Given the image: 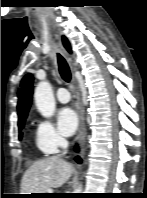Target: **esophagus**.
I'll use <instances>...</instances> for the list:
<instances>
[{
  "label": "esophagus",
  "instance_id": "esophagus-1",
  "mask_svg": "<svg viewBox=\"0 0 147 198\" xmlns=\"http://www.w3.org/2000/svg\"><path fill=\"white\" fill-rule=\"evenodd\" d=\"M73 84L75 89L78 91V83L75 77H73ZM80 116H81V128L79 133V140H83L85 137V128H84V114L82 109H80Z\"/></svg>",
  "mask_w": 147,
  "mask_h": 198
}]
</instances>
